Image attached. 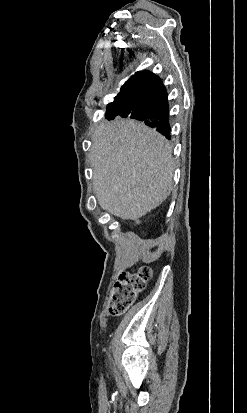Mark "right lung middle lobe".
Wrapping results in <instances>:
<instances>
[{
  "label": "right lung middle lobe",
  "mask_w": 247,
  "mask_h": 413,
  "mask_svg": "<svg viewBox=\"0 0 247 413\" xmlns=\"http://www.w3.org/2000/svg\"><path fill=\"white\" fill-rule=\"evenodd\" d=\"M119 99H134L135 97V88L130 83H125L121 87L120 93L116 96Z\"/></svg>",
  "instance_id": "obj_1"
}]
</instances>
